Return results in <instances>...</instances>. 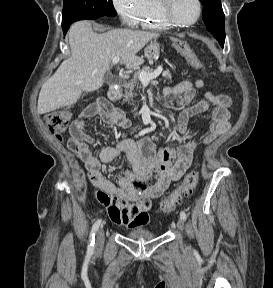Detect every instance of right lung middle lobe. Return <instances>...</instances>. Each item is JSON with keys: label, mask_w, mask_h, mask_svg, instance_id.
<instances>
[{"label": "right lung middle lobe", "mask_w": 273, "mask_h": 288, "mask_svg": "<svg viewBox=\"0 0 273 288\" xmlns=\"http://www.w3.org/2000/svg\"><path fill=\"white\" fill-rule=\"evenodd\" d=\"M112 0H64L62 28L82 19L115 16Z\"/></svg>", "instance_id": "obj_1"}]
</instances>
